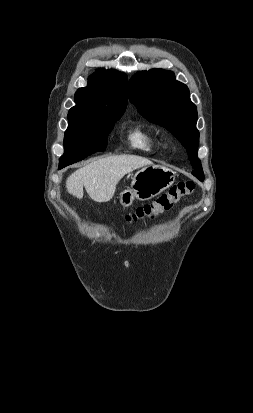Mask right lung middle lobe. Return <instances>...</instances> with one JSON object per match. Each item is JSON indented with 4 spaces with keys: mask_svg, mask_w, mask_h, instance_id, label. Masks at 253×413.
<instances>
[{
    "mask_svg": "<svg viewBox=\"0 0 253 413\" xmlns=\"http://www.w3.org/2000/svg\"><path fill=\"white\" fill-rule=\"evenodd\" d=\"M121 115L68 122L64 137V154L60 158L59 167L64 168L95 152L104 151L108 134Z\"/></svg>",
    "mask_w": 253,
    "mask_h": 413,
    "instance_id": "obj_1",
    "label": "right lung middle lobe"
}]
</instances>
